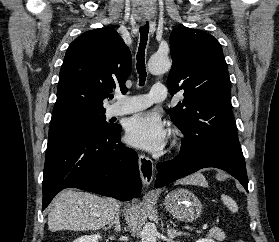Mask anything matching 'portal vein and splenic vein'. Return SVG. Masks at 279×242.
<instances>
[{"instance_id":"obj_1","label":"portal vein and splenic vein","mask_w":279,"mask_h":242,"mask_svg":"<svg viewBox=\"0 0 279 242\" xmlns=\"http://www.w3.org/2000/svg\"><path fill=\"white\" fill-rule=\"evenodd\" d=\"M208 227H203V230H206Z\"/></svg>"}]
</instances>
